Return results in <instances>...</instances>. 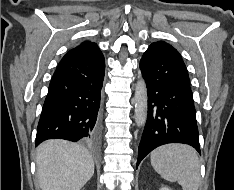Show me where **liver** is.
I'll return each mask as SVG.
<instances>
[{"mask_svg":"<svg viewBox=\"0 0 234 190\" xmlns=\"http://www.w3.org/2000/svg\"><path fill=\"white\" fill-rule=\"evenodd\" d=\"M37 174L41 190H80L94 174L91 154L64 140H48L37 148Z\"/></svg>","mask_w":234,"mask_h":190,"instance_id":"liver-1","label":"liver"}]
</instances>
